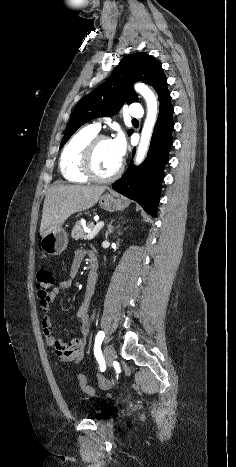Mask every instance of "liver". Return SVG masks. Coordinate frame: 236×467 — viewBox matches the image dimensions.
Instances as JSON below:
<instances>
[{
  "label": "liver",
  "instance_id": "liver-1",
  "mask_svg": "<svg viewBox=\"0 0 236 467\" xmlns=\"http://www.w3.org/2000/svg\"><path fill=\"white\" fill-rule=\"evenodd\" d=\"M105 190L104 186H51L44 200L40 235L45 236L72 214L94 206Z\"/></svg>",
  "mask_w": 236,
  "mask_h": 467
}]
</instances>
